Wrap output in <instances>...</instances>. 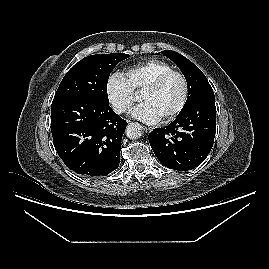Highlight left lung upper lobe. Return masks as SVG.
<instances>
[{"label":"left lung upper lobe","instance_id":"obj_1","mask_svg":"<svg viewBox=\"0 0 269 269\" xmlns=\"http://www.w3.org/2000/svg\"><path fill=\"white\" fill-rule=\"evenodd\" d=\"M162 53L176 63L187 81L188 98L180 113L185 111L198 99L206 95L214 94L205 75L190 60L171 50H165L162 51Z\"/></svg>","mask_w":269,"mask_h":269}]
</instances>
